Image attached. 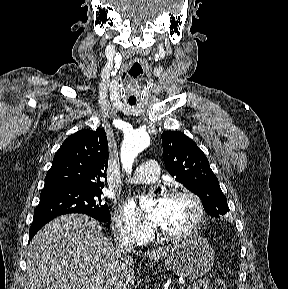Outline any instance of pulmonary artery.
I'll return each instance as SVG.
<instances>
[{
    "mask_svg": "<svg viewBox=\"0 0 288 289\" xmlns=\"http://www.w3.org/2000/svg\"><path fill=\"white\" fill-rule=\"evenodd\" d=\"M160 175V168L156 161L147 160L141 164L135 171L133 182L151 183L157 180Z\"/></svg>",
    "mask_w": 288,
    "mask_h": 289,
    "instance_id": "1",
    "label": "pulmonary artery"
}]
</instances>
